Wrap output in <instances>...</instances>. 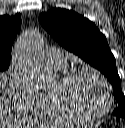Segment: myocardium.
Returning a JSON list of instances; mask_svg holds the SVG:
<instances>
[{"label":"myocardium","instance_id":"1","mask_svg":"<svg viewBox=\"0 0 125 128\" xmlns=\"http://www.w3.org/2000/svg\"><path fill=\"white\" fill-rule=\"evenodd\" d=\"M82 72H89L95 75L101 81L104 87V91L106 95V104L105 107L102 109V111H100L99 113L84 114L80 112L75 107V105L73 104V102L69 97V88L71 83L73 82L75 77ZM55 94L63 110H65L71 118L82 123L94 122L103 118L109 113L113 103V95L108 80L100 71L87 65L77 66L67 71L57 82L55 86Z\"/></svg>","mask_w":125,"mask_h":128}]
</instances>
